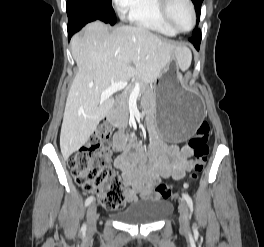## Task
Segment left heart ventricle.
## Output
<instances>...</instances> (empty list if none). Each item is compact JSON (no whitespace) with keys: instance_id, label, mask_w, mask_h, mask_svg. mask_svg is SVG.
I'll use <instances>...</instances> for the list:
<instances>
[{"instance_id":"obj_1","label":"left heart ventricle","mask_w":264,"mask_h":247,"mask_svg":"<svg viewBox=\"0 0 264 247\" xmlns=\"http://www.w3.org/2000/svg\"><path fill=\"white\" fill-rule=\"evenodd\" d=\"M170 16L173 23L181 29L189 27L192 21L191 10L185 0H172Z\"/></svg>"}]
</instances>
